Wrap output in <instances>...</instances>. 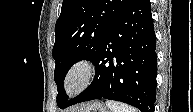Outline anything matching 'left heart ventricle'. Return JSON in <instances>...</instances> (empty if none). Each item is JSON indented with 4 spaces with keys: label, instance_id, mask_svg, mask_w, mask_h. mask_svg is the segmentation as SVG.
Masks as SVG:
<instances>
[{
    "label": "left heart ventricle",
    "instance_id": "1",
    "mask_svg": "<svg viewBox=\"0 0 193 112\" xmlns=\"http://www.w3.org/2000/svg\"><path fill=\"white\" fill-rule=\"evenodd\" d=\"M77 83H78V80H77V79H74V81H73V83H72V87L75 88L76 85H77Z\"/></svg>",
    "mask_w": 193,
    "mask_h": 112
}]
</instances>
